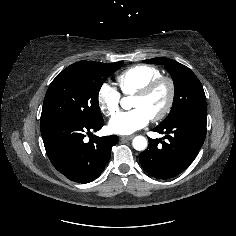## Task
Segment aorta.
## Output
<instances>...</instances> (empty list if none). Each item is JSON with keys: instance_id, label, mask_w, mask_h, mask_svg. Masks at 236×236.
Here are the masks:
<instances>
[{"instance_id": "762f6f07", "label": "aorta", "mask_w": 236, "mask_h": 236, "mask_svg": "<svg viewBox=\"0 0 236 236\" xmlns=\"http://www.w3.org/2000/svg\"><path fill=\"white\" fill-rule=\"evenodd\" d=\"M123 102H124V100L122 101V103ZM132 145L135 150L143 151L147 148V140L143 136H136L132 141Z\"/></svg>"}]
</instances>
